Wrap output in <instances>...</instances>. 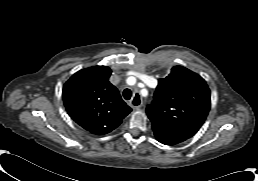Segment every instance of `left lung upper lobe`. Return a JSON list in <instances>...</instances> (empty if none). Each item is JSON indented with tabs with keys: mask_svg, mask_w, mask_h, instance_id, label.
Returning a JSON list of instances; mask_svg holds the SVG:
<instances>
[{
	"mask_svg": "<svg viewBox=\"0 0 258 181\" xmlns=\"http://www.w3.org/2000/svg\"><path fill=\"white\" fill-rule=\"evenodd\" d=\"M210 104L204 79L185 67L174 66L166 78L159 79L146 112L153 129L188 139L204 123Z\"/></svg>",
	"mask_w": 258,
	"mask_h": 181,
	"instance_id": "5c2ea615",
	"label": "left lung upper lobe"
}]
</instances>
